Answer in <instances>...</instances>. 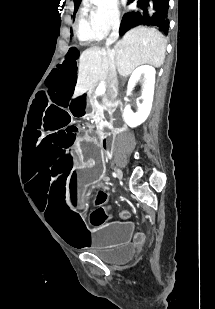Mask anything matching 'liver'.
<instances>
[{"mask_svg": "<svg viewBox=\"0 0 215 309\" xmlns=\"http://www.w3.org/2000/svg\"><path fill=\"white\" fill-rule=\"evenodd\" d=\"M167 40L157 28L135 26L114 44L116 68L122 76H128L139 64L161 66L165 58ZM108 58L105 48L91 46L80 54L78 78L72 98H77L96 86L98 80H106Z\"/></svg>", "mask_w": 215, "mask_h": 309, "instance_id": "liver-1", "label": "liver"}]
</instances>
